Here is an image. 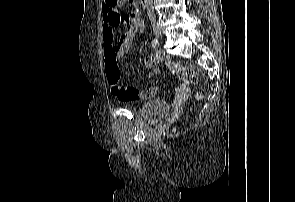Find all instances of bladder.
Returning <instances> with one entry per match:
<instances>
[{"mask_svg": "<svg viewBox=\"0 0 295 202\" xmlns=\"http://www.w3.org/2000/svg\"><path fill=\"white\" fill-rule=\"evenodd\" d=\"M169 113V105L162 99H152L138 110L140 117L147 121H158Z\"/></svg>", "mask_w": 295, "mask_h": 202, "instance_id": "31cf9c89", "label": "bladder"}]
</instances>
